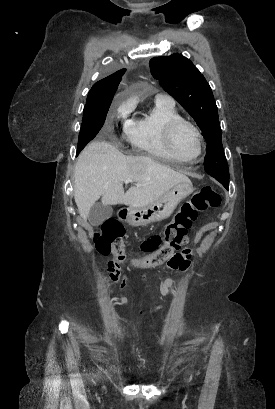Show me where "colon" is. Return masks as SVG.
<instances>
[{"label":"colon","instance_id":"5ec220e1","mask_svg":"<svg viewBox=\"0 0 275 409\" xmlns=\"http://www.w3.org/2000/svg\"><path fill=\"white\" fill-rule=\"evenodd\" d=\"M220 205L219 194L212 187H202L181 205L162 233L154 234L142 243L141 248L148 252L147 256H137L134 260L128 258L126 261L128 263L134 261L138 268L144 265L146 270H155L157 266L165 265L167 259L174 256L175 249L185 245L188 230L197 214ZM123 234L124 228L120 222L115 219H107L98 227L94 243L101 252L113 253L120 258L124 253ZM119 267L118 261H110L107 273L114 275Z\"/></svg>","mask_w":275,"mask_h":409}]
</instances>
